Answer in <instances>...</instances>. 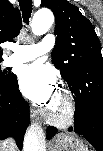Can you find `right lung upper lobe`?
I'll list each match as a JSON object with an SVG mask.
<instances>
[{"mask_svg": "<svg viewBox=\"0 0 103 151\" xmlns=\"http://www.w3.org/2000/svg\"><path fill=\"white\" fill-rule=\"evenodd\" d=\"M22 27L20 12L13 8L8 0H0V44L5 41H12L13 37L19 34ZM0 47V59H2Z\"/></svg>", "mask_w": 103, "mask_h": 151, "instance_id": "obj_1", "label": "right lung upper lobe"}]
</instances>
